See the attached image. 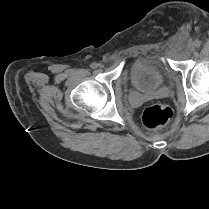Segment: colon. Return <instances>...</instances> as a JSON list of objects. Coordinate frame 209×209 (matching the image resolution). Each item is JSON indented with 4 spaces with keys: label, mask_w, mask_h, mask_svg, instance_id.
Here are the masks:
<instances>
[{
    "label": "colon",
    "mask_w": 209,
    "mask_h": 209,
    "mask_svg": "<svg viewBox=\"0 0 209 209\" xmlns=\"http://www.w3.org/2000/svg\"><path fill=\"white\" fill-rule=\"evenodd\" d=\"M172 110L164 105H151L142 113V122L144 126L150 129H156L165 126L172 118Z\"/></svg>",
    "instance_id": "colon-1"
}]
</instances>
